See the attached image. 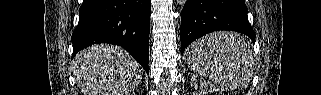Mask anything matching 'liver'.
Here are the masks:
<instances>
[{
    "label": "liver",
    "instance_id": "1",
    "mask_svg": "<svg viewBox=\"0 0 321 95\" xmlns=\"http://www.w3.org/2000/svg\"><path fill=\"white\" fill-rule=\"evenodd\" d=\"M74 73L83 95H128L140 83L143 69L124 49L93 45L74 58Z\"/></svg>",
    "mask_w": 321,
    "mask_h": 95
}]
</instances>
